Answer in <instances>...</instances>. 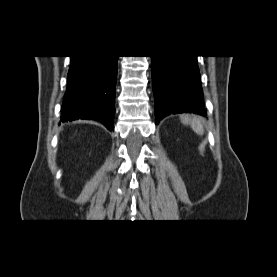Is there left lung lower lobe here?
Listing matches in <instances>:
<instances>
[{
  "instance_id": "left-lung-lower-lobe-1",
  "label": "left lung lower lobe",
  "mask_w": 277,
  "mask_h": 277,
  "mask_svg": "<svg viewBox=\"0 0 277 277\" xmlns=\"http://www.w3.org/2000/svg\"><path fill=\"white\" fill-rule=\"evenodd\" d=\"M156 124L175 113L205 116L197 56H151Z\"/></svg>"
}]
</instances>
